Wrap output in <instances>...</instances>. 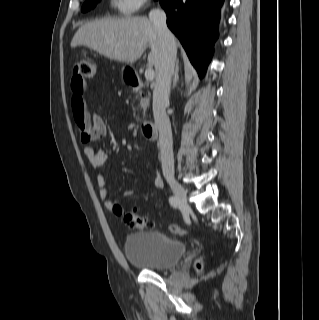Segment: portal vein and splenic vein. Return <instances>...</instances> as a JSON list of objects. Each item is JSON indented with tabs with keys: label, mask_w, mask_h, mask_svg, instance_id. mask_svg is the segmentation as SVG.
Masks as SVG:
<instances>
[{
	"label": "portal vein and splenic vein",
	"mask_w": 319,
	"mask_h": 320,
	"mask_svg": "<svg viewBox=\"0 0 319 320\" xmlns=\"http://www.w3.org/2000/svg\"><path fill=\"white\" fill-rule=\"evenodd\" d=\"M155 77V73H154V70L152 67H148L146 70H145V78L147 81H152Z\"/></svg>",
	"instance_id": "obj_1"
}]
</instances>
